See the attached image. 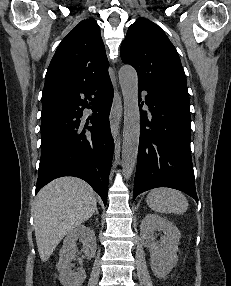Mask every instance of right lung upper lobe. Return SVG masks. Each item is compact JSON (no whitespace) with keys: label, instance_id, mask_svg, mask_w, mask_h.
Here are the masks:
<instances>
[{"label":"right lung upper lobe","instance_id":"cb5924a9","mask_svg":"<svg viewBox=\"0 0 231 286\" xmlns=\"http://www.w3.org/2000/svg\"><path fill=\"white\" fill-rule=\"evenodd\" d=\"M108 60L94 19L81 21L58 46L45 77L42 109L58 108L80 89L109 78Z\"/></svg>","mask_w":231,"mask_h":286}]
</instances>
